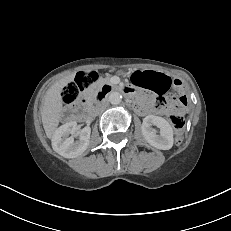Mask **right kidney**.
I'll list each match as a JSON object with an SVG mask.
<instances>
[{
	"mask_svg": "<svg viewBox=\"0 0 231 231\" xmlns=\"http://www.w3.org/2000/svg\"><path fill=\"white\" fill-rule=\"evenodd\" d=\"M77 123L69 122L60 126L52 137V148L59 155L65 158H75L81 155L88 147L91 129L85 127L81 130L79 140L74 141Z\"/></svg>",
	"mask_w": 231,
	"mask_h": 231,
	"instance_id": "obj_1",
	"label": "right kidney"
}]
</instances>
